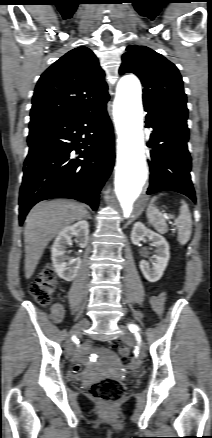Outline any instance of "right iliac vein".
I'll list each match as a JSON object with an SVG mask.
<instances>
[{"label": "right iliac vein", "mask_w": 212, "mask_h": 438, "mask_svg": "<svg viewBox=\"0 0 212 438\" xmlns=\"http://www.w3.org/2000/svg\"><path fill=\"white\" fill-rule=\"evenodd\" d=\"M89 327V322L82 321L79 324H77L70 332L69 339L67 340V352L68 354H71L72 352V337L73 336H79L83 329H86Z\"/></svg>", "instance_id": "right-iliac-vein-1"}]
</instances>
